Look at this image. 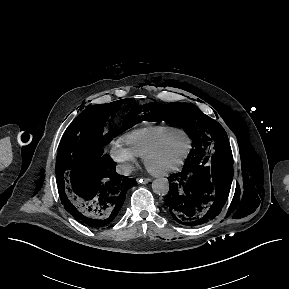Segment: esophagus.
<instances>
[{
  "label": "esophagus",
  "mask_w": 289,
  "mask_h": 289,
  "mask_svg": "<svg viewBox=\"0 0 289 289\" xmlns=\"http://www.w3.org/2000/svg\"><path fill=\"white\" fill-rule=\"evenodd\" d=\"M152 180L150 178H143V179H140L139 182L140 183H143V184H148L150 183Z\"/></svg>",
  "instance_id": "1"
}]
</instances>
